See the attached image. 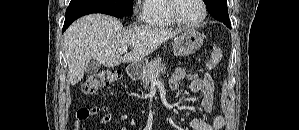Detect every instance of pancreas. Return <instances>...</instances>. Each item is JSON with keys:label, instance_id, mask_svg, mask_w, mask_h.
I'll use <instances>...</instances> for the list:
<instances>
[{"label": "pancreas", "instance_id": "1", "mask_svg": "<svg viewBox=\"0 0 299 130\" xmlns=\"http://www.w3.org/2000/svg\"><path fill=\"white\" fill-rule=\"evenodd\" d=\"M166 67L162 64V59L158 58L147 65L146 68L143 69L139 78L141 80V85L145 90L149 88V84L152 81V77H158L160 73L165 72Z\"/></svg>", "mask_w": 299, "mask_h": 130}]
</instances>
